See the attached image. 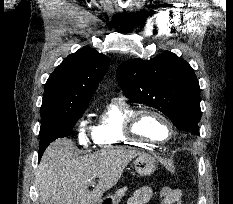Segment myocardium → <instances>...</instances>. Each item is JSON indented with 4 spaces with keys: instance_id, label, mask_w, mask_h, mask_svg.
I'll return each mask as SVG.
<instances>
[{
    "instance_id": "obj_1",
    "label": "myocardium",
    "mask_w": 233,
    "mask_h": 204,
    "mask_svg": "<svg viewBox=\"0 0 233 204\" xmlns=\"http://www.w3.org/2000/svg\"><path fill=\"white\" fill-rule=\"evenodd\" d=\"M145 114L154 115L158 117L159 119H161L166 124L168 128V137L166 139L161 140V141L153 140L151 138L141 135L137 131L138 120L142 115H145ZM125 133L129 138L134 139V140L142 141V142H145L151 145H162V144H166L173 138L174 127L170 119L158 109H155L153 107H143V108L134 110L129 115L126 121V125H125Z\"/></svg>"
}]
</instances>
